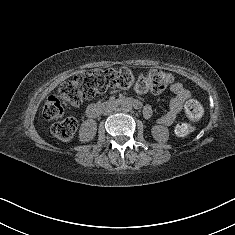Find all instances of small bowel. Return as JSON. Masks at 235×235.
<instances>
[{
  "instance_id": "c3829d8e",
  "label": "small bowel",
  "mask_w": 235,
  "mask_h": 235,
  "mask_svg": "<svg viewBox=\"0 0 235 235\" xmlns=\"http://www.w3.org/2000/svg\"><path fill=\"white\" fill-rule=\"evenodd\" d=\"M170 90L174 97L170 101L168 111L157 120V124L161 126H170L181 112L184 103L190 99V92L179 82L172 83ZM143 115L146 118L153 115L151 105L144 106Z\"/></svg>"
}]
</instances>
